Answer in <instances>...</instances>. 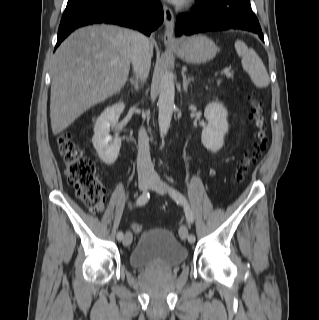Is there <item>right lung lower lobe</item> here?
<instances>
[{
    "label": "right lung lower lobe",
    "instance_id": "right-lung-lower-lobe-1",
    "mask_svg": "<svg viewBox=\"0 0 319 320\" xmlns=\"http://www.w3.org/2000/svg\"><path fill=\"white\" fill-rule=\"evenodd\" d=\"M159 0H82L66 7L58 30L55 48L76 28L93 23L118 24L146 35L162 24Z\"/></svg>",
    "mask_w": 319,
    "mask_h": 320
}]
</instances>
